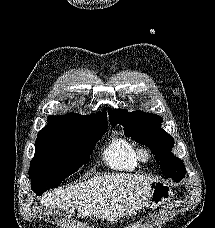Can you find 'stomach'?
I'll return each mask as SVG.
<instances>
[{"instance_id": "1", "label": "stomach", "mask_w": 215, "mask_h": 228, "mask_svg": "<svg viewBox=\"0 0 215 228\" xmlns=\"http://www.w3.org/2000/svg\"><path fill=\"white\" fill-rule=\"evenodd\" d=\"M151 190V206L153 210L161 208L162 204L169 202L172 192L170 186L165 182H152L150 186Z\"/></svg>"}]
</instances>
